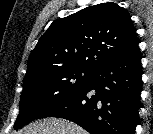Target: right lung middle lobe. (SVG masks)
Instances as JSON below:
<instances>
[{
  "mask_svg": "<svg viewBox=\"0 0 153 134\" xmlns=\"http://www.w3.org/2000/svg\"><path fill=\"white\" fill-rule=\"evenodd\" d=\"M92 74L93 70L61 67L25 78L14 129L39 118L81 89Z\"/></svg>",
  "mask_w": 153,
  "mask_h": 134,
  "instance_id": "right-lung-middle-lobe-1",
  "label": "right lung middle lobe"
}]
</instances>
